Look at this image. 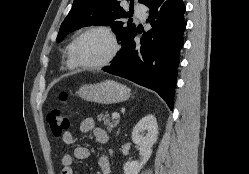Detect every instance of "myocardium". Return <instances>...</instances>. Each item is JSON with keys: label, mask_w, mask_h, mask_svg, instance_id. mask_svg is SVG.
I'll list each match as a JSON object with an SVG mask.
<instances>
[{"label": "myocardium", "mask_w": 249, "mask_h": 174, "mask_svg": "<svg viewBox=\"0 0 249 174\" xmlns=\"http://www.w3.org/2000/svg\"><path fill=\"white\" fill-rule=\"evenodd\" d=\"M92 32H101L104 33L111 44V50L109 52V54L107 55V57L105 59H103L102 61L98 62V63H94V64H87L84 63L80 60V58L77 55V48H78V44L81 41V39L86 36L89 33ZM119 51V42L117 39V36L115 34V32L108 26L105 25H93L90 26L88 28H86L83 32H81L74 40L73 45H72V57L76 63V65L80 68L83 69H100L103 68L105 66H107L108 64H110L114 58L116 57L117 53Z\"/></svg>", "instance_id": "1"}]
</instances>
